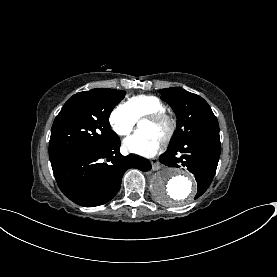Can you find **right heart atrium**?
<instances>
[{"label": "right heart atrium", "instance_id": "1", "mask_svg": "<svg viewBox=\"0 0 277 277\" xmlns=\"http://www.w3.org/2000/svg\"><path fill=\"white\" fill-rule=\"evenodd\" d=\"M109 122L112 129L119 136L129 135L136 124V120L124 105H119L112 111L109 117Z\"/></svg>", "mask_w": 277, "mask_h": 277}]
</instances>
